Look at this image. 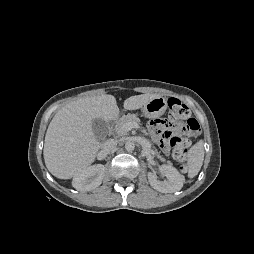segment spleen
<instances>
[{
  "label": "spleen",
  "instance_id": "1",
  "mask_svg": "<svg viewBox=\"0 0 254 254\" xmlns=\"http://www.w3.org/2000/svg\"><path fill=\"white\" fill-rule=\"evenodd\" d=\"M204 142L203 140H199L196 144H194L188 151L187 154V170L188 177H195L203 164L204 160Z\"/></svg>",
  "mask_w": 254,
  "mask_h": 254
}]
</instances>
